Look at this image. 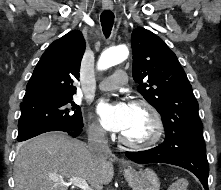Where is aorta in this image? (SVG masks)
Segmentation results:
<instances>
[{"mask_svg": "<svg viewBox=\"0 0 221 190\" xmlns=\"http://www.w3.org/2000/svg\"><path fill=\"white\" fill-rule=\"evenodd\" d=\"M129 55V50L125 46L113 47L105 50L97 63V68L99 70H106L112 66H115L125 59H127Z\"/></svg>", "mask_w": 221, "mask_h": 190, "instance_id": "1", "label": "aorta"}]
</instances>
